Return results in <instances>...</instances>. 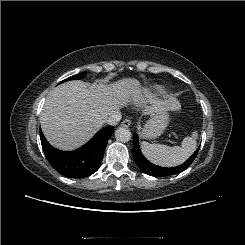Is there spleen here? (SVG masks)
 Returning <instances> with one entry per match:
<instances>
[{
	"mask_svg": "<svg viewBox=\"0 0 245 245\" xmlns=\"http://www.w3.org/2000/svg\"><path fill=\"white\" fill-rule=\"evenodd\" d=\"M197 131L191 136L185 137L182 145L169 147L163 144H150L146 141L141 143V150L145 157L152 163L165 167H172L186 161L196 149Z\"/></svg>",
	"mask_w": 245,
	"mask_h": 245,
	"instance_id": "spleen-1",
	"label": "spleen"
}]
</instances>
